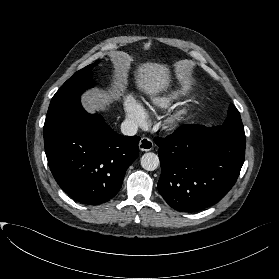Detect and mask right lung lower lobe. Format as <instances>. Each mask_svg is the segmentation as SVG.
<instances>
[{"mask_svg": "<svg viewBox=\"0 0 279 279\" xmlns=\"http://www.w3.org/2000/svg\"><path fill=\"white\" fill-rule=\"evenodd\" d=\"M50 170L72 199L98 205L115 197L126 169L139 155L138 136L117 134L99 114L87 113L80 100L44 124Z\"/></svg>", "mask_w": 279, "mask_h": 279, "instance_id": "98d812e1", "label": "right lung lower lobe"}]
</instances>
